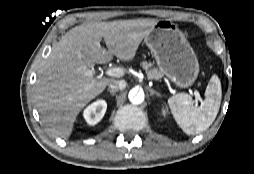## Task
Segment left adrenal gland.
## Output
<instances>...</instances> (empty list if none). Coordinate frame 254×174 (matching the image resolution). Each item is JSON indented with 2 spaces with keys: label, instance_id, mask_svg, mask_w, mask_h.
Listing matches in <instances>:
<instances>
[{
  "label": "left adrenal gland",
  "instance_id": "obj_1",
  "mask_svg": "<svg viewBox=\"0 0 254 174\" xmlns=\"http://www.w3.org/2000/svg\"><path fill=\"white\" fill-rule=\"evenodd\" d=\"M149 92H150V96L153 95H157L158 97H160V93H158L156 90L152 89V88H148Z\"/></svg>",
  "mask_w": 254,
  "mask_h": 174
}]
</instances>
